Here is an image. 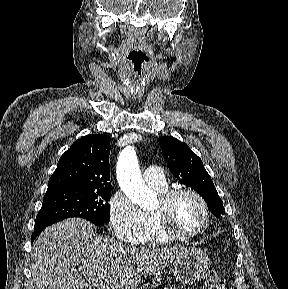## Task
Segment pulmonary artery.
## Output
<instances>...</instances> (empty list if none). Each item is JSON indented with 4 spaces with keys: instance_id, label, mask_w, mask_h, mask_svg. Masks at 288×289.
<instances>
[{
    "instance_id": "1",
    "label": "pulmonary artery",
    "mask_w": 288,
    "mask_h": 289,
    "mask_svg": "<svg viewBox=\"0 0 288 289\" xmlns=\"http://www.w3.org/2000/svg\"><path fill=\"white\" fill-rule=\"evenodd\" d=\"M145 182L154 188L165 187L166 179L163 170L157 166H150L143 172Z\"/></svg>"
}]
</instances>
